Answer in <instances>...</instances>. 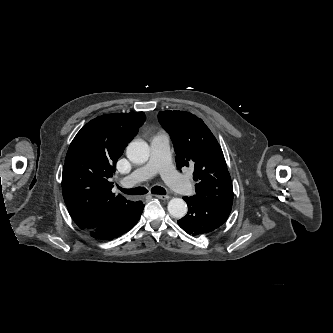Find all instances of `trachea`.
I'll return each instance as SVG.
<instances>
[{"label": "trachea", "mask_w": 333, "mask_h": 333, "mask_svg": "<svg viewBox=\"0 0 333 333\" xmlns=\"http://www.w3.org/2000/svg\"><path fill=\"white\" fill-rule=\"evenodd\" d=\"M118 188L121 192H123L125 194H128V195H143V194H146L148 192L147 189L142 188V187H137V188H132V189H123L121 187H118ZM151 193L152 194L165 195L166 190L163 187L154 186L151 189Z\"/></svg>", "instance_id": "trachea-1"}]
</instances>
